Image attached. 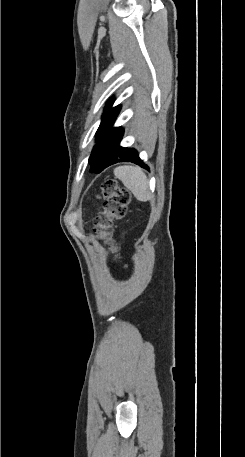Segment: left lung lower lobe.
Segmentation results:
<instances>
[{"label":"left lung lower lobe","instance_id":"left-lung-lower-lobe-1","mask_svg":"<svg viewBox=\"0 0 245 457\" xmlns=\"http://www.w3.org/2000/svg\"><path fill=\"white\" fill-rule=\"evenodd\" d=\"M114 121L100 125L97 134V144L89 158L91 173H100L106 167L118 162H133L145 169H149L132 148L119 146L123 137L122 128H112Z\"/></svg>","mask_w":245,"mask_h":457}]
</instances>
